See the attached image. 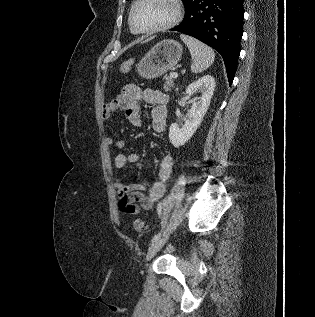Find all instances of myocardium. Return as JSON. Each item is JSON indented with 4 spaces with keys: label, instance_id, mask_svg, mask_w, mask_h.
I'll return each mask as SVG.
<instances>
[{
    "label": "myocardium",
    "instance_id": "myocardium-1",
    "mask_svg": "<svg viewBox=\"0 0 315 317\" xmlns=\"http://www.w3.org/2000/svg\"><path fill=\"white\" fill-rule=\"evenodd\" d=\"M142 1L143 0H136L135 1V3L133 4V6L131 8L130 15H129L130 26L137 33H155V32L164 31V30H167V29L174 27L182 19L183 10H182V5H181V0H170L171 3L173 4V7H174V14L168 22H166L162 25L156 26V27L140 29L135 24L134 13H135L137 6Z\"/></svg>",
    "mask_w": 315,
    "mask_h": 317
}]
</instances>
